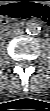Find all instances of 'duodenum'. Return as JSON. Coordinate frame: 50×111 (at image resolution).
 <instances>
[{
  "label": "duodenum",
  "instance_id": "obj_1",
  "mask_svg": "<svg viewBox=\"0 0 50 111\" xmlns=\"http://www.w3.org/2000/svg\"><path fill=\"white\" fill-rule=\"evenodd\" d=\"M21 26H22V24H17L15 26L4 27L1 31V37L2 38H7L10 34H12L14 32L15 29H17Z\"/></svg>",
  "mask_w": 50,
  "mask_h": 111
}]
</instances>
